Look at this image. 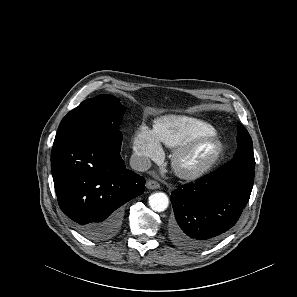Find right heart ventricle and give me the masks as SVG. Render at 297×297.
<instances>
[{"label": "right heart ventricle", "mask_w": 297, "mask_h": 297, "mask_svg": "<svg viewBox=\"0 0 297 297\" xmlns=\"http://www.w3.org/2000/svg\"><path fill=\"white\" fill-rule=\"evenodd\" d=\"M155 135L159 141L170 148H177L192 138L214 132L208 122L185 115H170L155 122Z\"/></svg>", "instance_id": "right-heart-ventricle-1"}]
</instances>
